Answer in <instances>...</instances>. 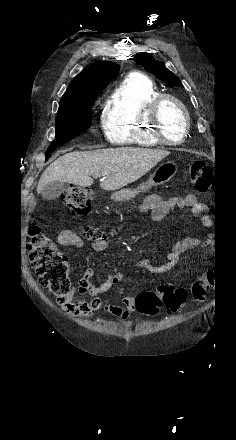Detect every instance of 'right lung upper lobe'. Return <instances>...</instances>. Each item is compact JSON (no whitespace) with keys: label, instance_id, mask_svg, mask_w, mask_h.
I'll return each instance as SVG.
<instances>
[{"label":"right lung upper lobe","instance_id":"obj_1","mask_svg":"<svg viewBox=\"0 0 236 440\" xmlns=\"http://www.w3.org/2000/svg\"><path fill=\"white\" fill-rule=\"evenodd\" d=\"M119 65L112 62H94L78 74L69 84L60 103L97 94L105 89L117 75Z\"/></svg>","mask_w":236,"mask_h":440}]
</instances>
